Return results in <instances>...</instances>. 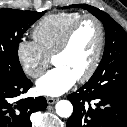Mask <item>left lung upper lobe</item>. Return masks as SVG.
<instances>
[{"instance_id":"left-lung-upper-lobe-1","label":"left lung upper lobe","mask_w":127,"mask_h":127,"mask_svg":"<svg viewBox=\"0 0 127 127\" xmlns=\"http://www.w3.org/2000/svg\"><path fill=\"white\" fill-rule=\"evenodd\" d=\"M78 7L88 10L104 24L106 43L103 58L95 73L104 70L111 63L127 59V34L123 28L105 12L86 4L70 5L65 8Z\"/></svg>"}]
</instances>
